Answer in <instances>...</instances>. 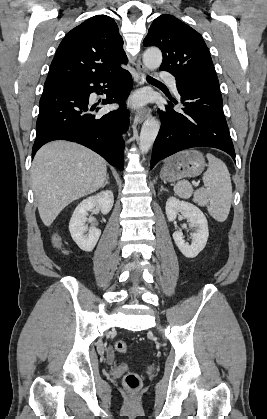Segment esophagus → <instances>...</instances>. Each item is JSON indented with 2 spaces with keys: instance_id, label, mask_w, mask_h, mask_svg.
Wrapping results in <instances>:
<instances>
[{
  "instance_id": "obj_1",
  "label": "esophagus",
  "mask_w": 267,
  "mask_h": 419,
  "mask_svg": "<svg viewBox=\"0 0 267 419\" xmlns=\"http://www.w3.org/2000/svg\"><path fill=\"white\" fill-rule=\"evenodd\" d=\"M136 71H137V83H138L139 86L143 85L145 83L147 70H146L145 66L143 65V63L141 62V60L137 61ZM149 114H150V109L149 108H143V109L137 111L136 119L138 120L139 123H141L142 121H144L149 116Z\"/></svg>"
}]
</instances>
